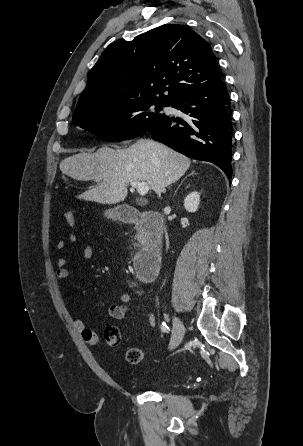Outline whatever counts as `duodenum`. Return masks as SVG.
<instances>
[{"mask_svg": "<svg viewBox=\"0 0 303 446\" xmlns=\"http://www.w3.org/2000/svg\"><path fill=\"white\" fill-rule=\"evenodd\" d=\"M118 218L124 223L137 225L144 234L145 244L136 253L133 264L142 280L153 279L161 260L159 248L163 227L161 215L155 211H138L127 207L119 210Z\"/></svg>", "mask_w": 303, "mask_h": 446, "instance_id": "obj_1", "label": "duodenum"}]
</instances>
